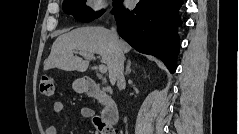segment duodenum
<instances>
[{
    "mask_svg": "<svg viewBox=\"0 0 239 134\" xmlns=\"http://www.w3.org/2000/svg\"><path fill=\"white\" fill-rule=\"evenodd\" d=\"M84 82L87 95L103 101V121L108 125L116 124L119 120V112L116 104L101 90L94 78L88 76L84 79Z\"/></svg>",
    "mask_w": 239,
    "mask_h": 134,
    "instance_id": "obj_1",
    "label": "duodenum"
}]
</instances>
